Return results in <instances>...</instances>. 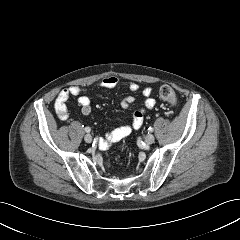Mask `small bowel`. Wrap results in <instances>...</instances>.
<instances>
[{"mask_svg": "<svg viewBox=\"0 0 240 240\" xmlns=\"http://www.w3.org/2000/svg\"><path fill=\"white\" fill-rule=\"evenodd\" d=\"M119 84V80L115 76H108L103 78L98 86L102 89H113L117 87ZM129 90L138 91L139 85L136 82H130L128 85ZM84 88L80 86H71L69 88L63 89L59 95L57 96L54 104L55 112L58 117L62 120L68 118V112L65 107V102L69 98V96H79L78 102L81 107V112L83 115L88 116L92 111L91 99L88 96H84ZM142 94L144 96V104L143 108L137 109L133 113L132 120L130 124L120 126L111 132H108L104 138L99 140V145L102 148H107L112 143L118 142L123 138L127 137L133 131L139 130L144 123V113L147 109H152L155 106V100L151 97L152 88L145 87L142 90ZM135 102V98L133 96H127L121 101V106L124 109H128Z\"/></svg>", "mask_w": 240, "mask_h": 240, "instance_id": "1", "label": "small bowel"}]
</instances>
